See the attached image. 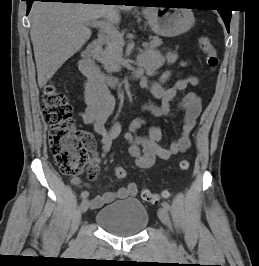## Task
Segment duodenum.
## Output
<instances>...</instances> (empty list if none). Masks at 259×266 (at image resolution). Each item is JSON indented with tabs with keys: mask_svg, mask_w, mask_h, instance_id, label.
<instances>
[{
	"mask_svg": "<svg viewBox=\"0 0 259 266\" xmlns=\"http://www.w3.org/2000/svg\"><path fill=\"white\" fill-rule=\"evenodd\" d=\"M107 36L105 33H100L98 38L89 44L82 54V69L88 79L100 86L111 85L118 86L123 84L127 79L139 80L145 68V62L138 59L137 69L128 77L125 76H108L97 64V56L99 55L103 44L106 42Z\"/></svg>",
	"mask_w": 259,
	"mask_h": 266,
	"instance_id": "duodenum-1",
	"label": "duodenum"
}]
</instances>
